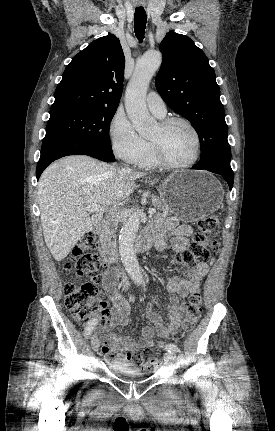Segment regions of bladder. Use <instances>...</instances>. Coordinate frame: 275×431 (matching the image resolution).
I'll return each mask as SVG.
<instances>
[{"mask_svg":"<svg viewBox=\"0 0 275 431\" xmlns=\"http://www.w3.org/2000/svg\"><path fill=\"white\" fill-rule=\"evenodd\" d=\"M110 371L117 376L146 377L148 372L142 371L132 364L110 363Z\"/></svg>","mask_w":275,"mask_h":431,"instance_id":"1","label":"bladder"}]
</instances>
